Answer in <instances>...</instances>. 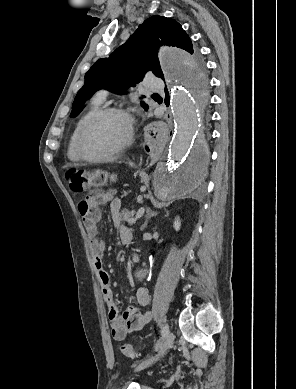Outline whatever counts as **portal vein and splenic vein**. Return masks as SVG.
I'll return each instance as SVG.
<instances>
[{
	"mask_svg": "<svg viewBox=\"0 0 296 389\" xmlns=\"http://www.w3.org/2000/svg\"><path fill=\"white\" fill-rule=\"evenodd\" d=\"M144 211H145V209H144L143 207H141V208L137 211L136 219L142 217L143 214H144Z\"/></svg>",
	"mask_w": 296,
	"mask_h": 389,
	"instance_id": "obj_1",
	"label": "portal vein and splenic vein"
}]
</instances>
